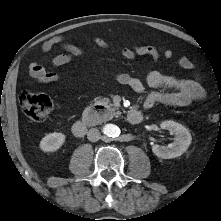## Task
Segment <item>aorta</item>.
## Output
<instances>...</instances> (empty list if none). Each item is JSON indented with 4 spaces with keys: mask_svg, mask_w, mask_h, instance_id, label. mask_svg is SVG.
Masks as SVG:
<instances>
[{
    "mask_svg": "<svg viewBox=\"0 0 221 221\" xmlns=\"http://www.w3.org/2000/svg\"><path fill=\"white\" fill-rule=\"evenodd\" d=\"M103 132L109 137H116L119 134V128L114 124H107L103 128Z\"/></svg>",
    "mask_w": 221,
    "mask_h": 221,
    "instance_id": "762f6f07",
    "label": "aorta"
}]
</instances>
